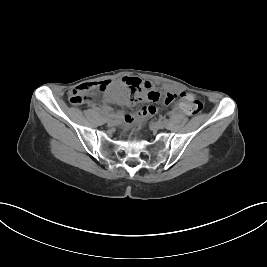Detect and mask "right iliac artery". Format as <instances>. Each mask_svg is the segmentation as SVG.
Instances as JSON below:
<instances>
[{
    "mask_svg": "<svg viewBox=\"0 0 267 267\" xmlns=\"http://www.w3.org/2000/svg\"><path fill=\"white\" fill-rule=\"evenodd\" d=\"M101 116L105 119H109V118H113L115 115L111 114V115H108V114H105V113H101Z\"/></svg>",
    "mask_w": 267,
    "mask_h": 267,
    "instance_id": "1",
    "label": "right iliac artery"
}]
</instances>
